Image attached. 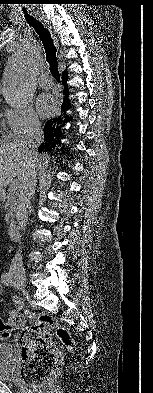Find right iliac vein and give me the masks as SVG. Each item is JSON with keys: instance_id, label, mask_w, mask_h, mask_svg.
Wrapping results in <instances>:
<instances>
[{"instance_id": "obj_1", "label": "right iliac vein", "mask_w": 153, "mask_h": 393, "mask_svg": "<svg viewBox=\"0 0 153 393\" xmlns=\"http://www.w3.org/2000/svg\"><path fill=\"white\" fill-rule=\"evenodd\" d=\"M14 278L19 285L26 287V279L23 275L16 273L14 274Z\"/></svg>"}]
</instances>
